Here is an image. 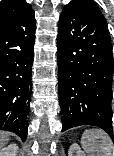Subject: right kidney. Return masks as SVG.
<instances>
[{
	"label": "right kidney",
	"mask_w": 114,
	"mask_h": 156,
	"mask_svg": "<svg viewBox=\"0 0 114 156\" xmlns=\"http://www.w3.org/2000/svg\"><path fill=\"white\" fill-rule=\"evenodd\" d=\"M18 147L15 144H10L0 150V156H16Z\"/></svg>",
	"instance_id": "1"
}]
</instances>
